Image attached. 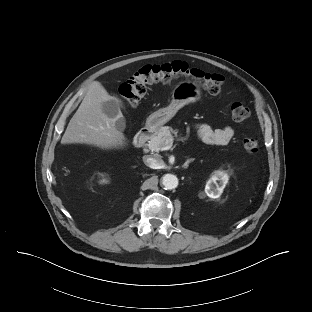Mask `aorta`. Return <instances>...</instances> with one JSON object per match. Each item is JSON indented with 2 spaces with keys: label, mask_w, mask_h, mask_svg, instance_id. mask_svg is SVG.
<instances>
[{
  "label": "aorta",
  "mask_w": 312,
  "mask_h": 312,
  "mask_svg": "<svg viewBox=\"0 0 312 312\" xmlns=\"http://www.w3.org/2000/svg\"><path fill=\"white\" fill-rule=\"evenodd\" d=\"M162 184L166 189H174L178 186V178L173 174H165L162 177Z\"/></svg>",
  "instance_id": "aorta-1"
}]
</instances>
